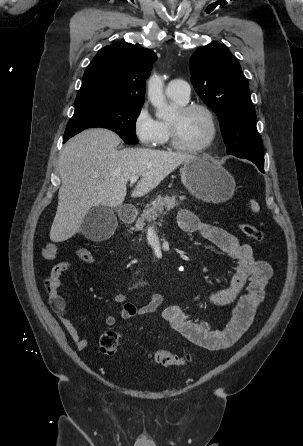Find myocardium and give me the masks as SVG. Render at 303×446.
<instances>
[{
  "mask_svg": "<svg viewBox=\"0 0 303 446\" xmlns=\"http://www.w3.org/2000/svg\"><path fill=\"white\" fill-rule=\"evenodd\" d=\"M202 111L209 122V127H210V133L209 136L207 138V140L202 143L201 145L198 146H186L183 145L179 139H178V135H177V128L176 125L171 122L168 121V133H169V143L171 145V147H173L174 149L183 152V153H190V154H196V153H201L205 150H207L210 146H212V144L214 143L216 137H217V132H218V128H217V122L215 119V115L213 113V111L206 105L201 104V103H186L182 106H179V108L177 109L178 113L180 115H186L192 111Z\"/></svg>",
  "mask_w": 303,
  "mask_h": 446,
  "instance_id": "1",
  "label": "myocardium"
}]
</instances>
